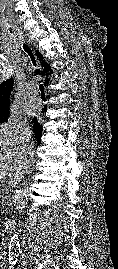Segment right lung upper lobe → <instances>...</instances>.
Masks as SVG:
<instances>
[{"mask_svg": "<svg viewBox=\"0 0 118 269\" xmlns=\"http://www.w3.org/2000/svg\"><path fill=\"white\" fill-rule=\"evenodd\" d=\"M36 55L40 62L41 70H37L35 73L40 74L43 77L42 81L44 82V85H46L49 82L48 76H50L53 71L51 66L45 62L39 51H36ZM13 82V78H10L0 84V107L9 105V97L13 88ZM33 123L35 132L37 134H42L40 123L37 122L36 118L33 119Z\"/></svg>", "mask_w": 118, "mask_h": 269, "instance_id": "right-lung-upper-lobe-1", "label": "right lung upper lobe"}]
</instances>
